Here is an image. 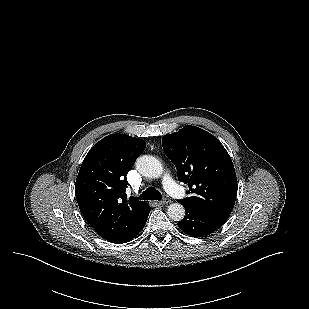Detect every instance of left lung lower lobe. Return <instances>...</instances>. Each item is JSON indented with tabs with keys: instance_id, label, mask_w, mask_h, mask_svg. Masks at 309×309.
<instances>
[{
	"instance_id": "0a47b994",
	"label": "left lung lower lobe",
	"mask_w": 309,
	"mask_h": 309,
	"mask_svg": "<svg viewBox=\"0 0 309 309\" xmlns=\"http://www.w3.org/2000/svg\"><path fill=\"white\" fill-rule=\"evenodd\" d=\"M183 206L186 216L178 223V227L184 233L193 237L207 236L226 222V220L216 217L202 208Z\"/></svg>"
}]
</instances>
